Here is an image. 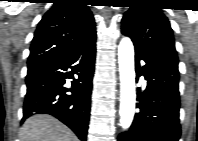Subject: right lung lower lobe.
<instances>
[{
    "instance_id": "1",
    "label": "right lung lower lobe",
    "mask_w": 198,
    "mask_h": 141,
    "mask_svg": "<svg viewBox=\"0 0 198 141\" xmlns=\"http://www.w3.org/2000/svg\"><path fill=\"white\" fill-rule=\"evenodd\" d=\"M95 42L96 33L71 51L28 67L23 121L34 114H50L71 128L81 141L86 140ZM67 78L73 79L71 89L64 86Z\"/></svg>"
}]
</instances>
